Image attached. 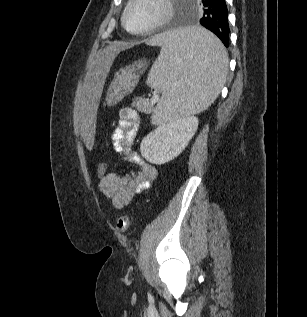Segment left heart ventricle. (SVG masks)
<instances>
[{
  "instance_id": "obj_1",
  "label": "left heart ventricle",
  "mask_w": 307,
  "mask_h": 317,
  "mask_svg": "<svg viewBox=\"0 0 307 317\" xmlns=\"http://www.w3.org/2000/svg\"><path fill=\"white\" fill-rule=\"evenodd\" d=\"M164 10L161 0H137L129 9L126 24L137 31L154 23Z\"/></svg>"
}]
</instances>
